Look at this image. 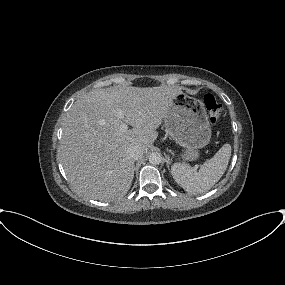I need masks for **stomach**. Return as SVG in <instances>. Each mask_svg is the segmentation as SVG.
Instances as JSON below:
<instances>
[{
  "instance_id": "obj_1",
  "label": "stomach",
  "mask_w": 285,
  "mask_h": 285,
  "mask_svg": "<svg viewBox=\"0 0 285 285\" xmlns=\"http://www.w3.org/2000/svg\"><path fill=\"white\" fill-rule=\"evenodd\" d=\"M166 131L183 147V161H194L200 156L199 149L211 139V126L204 104L181 92L173 100L164 118Z\"/></svg>"
}]
</instances>
